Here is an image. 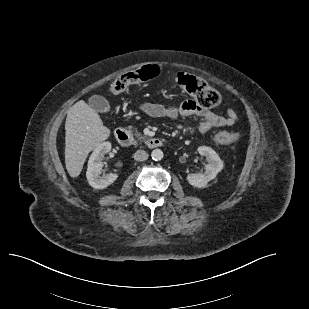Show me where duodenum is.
I'll return each instance as SVG.
<instances>
[{
  "label": "duodenum",
  "instance_id": "1",
  "mask_svg": "<svg viewBox=\"0 0 309 309\" xmlns=\"http://www.w3.org/2000/svg\"><path fill=\"white\" fill-rule=\"evenodd\" d=\"M115 137L117 139V141L119 142V144L123 145V146H129L132 143V135L131 133L125 129V128H118L115 131ZM163 145V141L160 138L157 137H153L150 138L147 141V146L149 148H159Z\"/></svg>",
  "mask_w": 309,
  "mask_h": 309
}]
</instances>
